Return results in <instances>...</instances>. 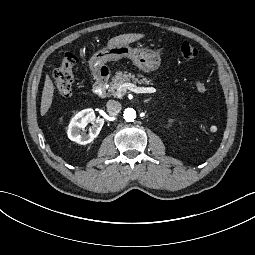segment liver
<instances>
[{
	"mask_svg": "<svg viewBox=\"0 0 255 255\" xmlns=\"http://www.w3.org/2000/svg\"><path fill=\"white\" fill-rule=\"evenodd\" d=\"M145 36H146L145 34H140V33H128V34L118 35L110 39L108 41L107 46L108 48H112V47H119L122 45H128L140 39H143ZM54 91H55L54 83L51 80L50 76L47 74L45 83H44L43 92H42V97H41V105H40L41 116L46 115L49 108L51 107L53 98H54Z\"/></svg>",
	"mask_w": 255,
	"mask_h": 255,
	"instance_id": "obj_1",
	"label": "liver"
}]
</instances>
